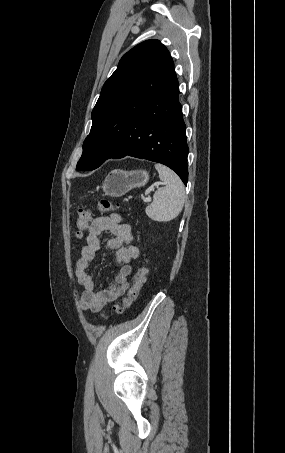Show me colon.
I'll use <instances>...</instances> for the list:
<instances>
[{
    "label": "colon",
    "mask_w": 285,
    "mask_h": 453,
    "mask_svg": "<svg viewBox=\"0 0 285 453\" xmlns=\"http://www.w3.org/2000/svg\"><path fill=\"white\" fill-rule=\"evenodd\" d=\"M118 208L117 204H113L108 200H101L98 203V209L101 212L113 211ZM92 218L91 209H80L76 217V234L78 238H81L87 231ZM147 269L145 266H139L133 275L132 285L123 298L121 304H117L113 307L115 314H121L127 308H129L134 301L139 297V293L146 281Z\"/></svg>",
    "instance_id": "5ec220e1"
}]
</instances>
